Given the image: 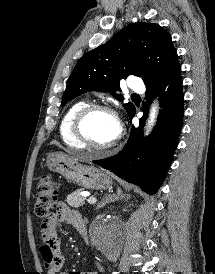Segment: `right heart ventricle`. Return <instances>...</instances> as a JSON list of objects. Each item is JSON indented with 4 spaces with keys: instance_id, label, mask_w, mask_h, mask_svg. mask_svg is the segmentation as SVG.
<instances>
[{
    "instance_id": "e07e8e85",
    "label": "right heart ventricle",
    "mask_w": 215,
    "mask_h": 274,
    "mask_svg": "<svg viewBox=\"0 0 215 274\" xmlns=\"http://www.w3.org/2000/svg\"><path fill=\"white\" fill-rule=\"evenodd\" d=\"M89 103L86 100H79L73 103L63 115L60 125L59 133L62 141L68 147L75 149H82L84 146L76 139L73 133V122L80 110H82Z\"/></svg>"
}]
</instances>
